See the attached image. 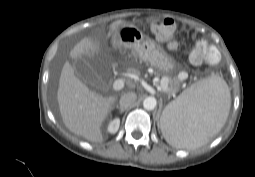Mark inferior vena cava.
<instances>
[{
    "mask_svg": "<svg viewBox=\"0 0 255 177\" xmlns=\"http://www.w3.org/2000/svg\"><path fill=\"white\" fill-rule=\"evenodd\" d=\"M137 99V95L133 92L125 93L121 96L119 104L121 108H128L132 106Z\"/></svg>",
    "mask_w": 255,
    "mask_h": 177,
    "instance_id": "obj_1",
    "label": "inferior vena cava"
}]
</instances>
